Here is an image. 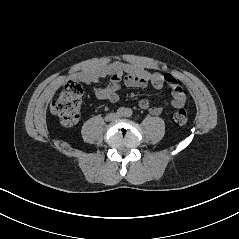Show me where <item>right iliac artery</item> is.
Returning <instances> with one entry per match:
<instances>
[{
    "label": "right iliac artery",
    "mask_w": 239,
    "mask_h": 239,
    "mask_svg": "<svg viewBox=\"0 0 239 239\" xmlns=\"http://www.w3.org/2000/svg\"><path fill=\"white\" fill-rule=\"evenodd\" d=\"M117 115L119 116H124L125 115V109L124 108H119L117 110Z\"/></svg>",
    "instance_id": "right-iliac-artery-1"
}]
</instances>
